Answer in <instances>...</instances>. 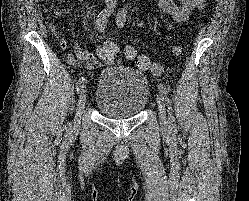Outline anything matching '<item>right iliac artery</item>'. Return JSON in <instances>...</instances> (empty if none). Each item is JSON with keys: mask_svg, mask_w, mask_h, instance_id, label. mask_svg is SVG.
<instances>
[{"mask_svg": "<svg viewBox=\"0 0 249 201\" xmlns=\"http://www.w3.org/2000/svg\"><path fill=\"white\" fill-rule=\"evenodd\" d=\"M113 10H114V7L111 5V6H108L107 8H105V9H103L99 13V15L97 17V20H96V26H97L98 31H100V32L104 31L106 23L108 21V18L112 14ZM84 84H85V79L83 77L79 78V80L76 83V91H77V93L81 92V90L84 87ZM69 126H70V123L67 125V128Z\"/></svg>", "mask_w": 249, "mask_h": 201, "instance_id": "1", "label": "right iliac artery"}]
</instances>
